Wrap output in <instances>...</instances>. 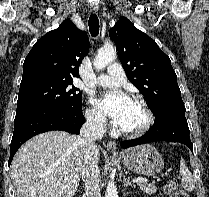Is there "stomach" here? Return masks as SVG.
<instances>
[{
  "instance_id": "1",
  "label": "stomach",
  "mask_w": 209,
  "mask_h": 197,
  "mask_svg": "<svg viewBox=\"0 0 209 197\" xmlns=\"http://www.w3.org/2000/svg\"><path fill=\"white\" fill-rule=\"evenodd\" d=\"M119 158L128 170L144 176L155 175L164 167L162 156L149 144L128 149Z\"/></svg>"
}]
</instances>
